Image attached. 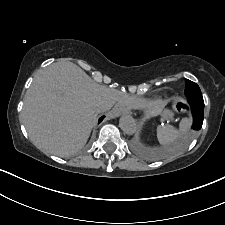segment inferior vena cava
<instances>
[{"instance_id":"1","label":"inferior vena cava","mask_w":225,"mask_h":225,"mask_svg":"<svg viewBox=\"0 0 225 225\" xmlns=\"http://www.w3.org/2000/svg\"><path fill=\"white\" fill-rule=\"evenodd\" d=\"M106 108H107V107H106L105 105H99V106H98V110H99V111H104V110H106Z\"/></svg>"}]
</instances>
